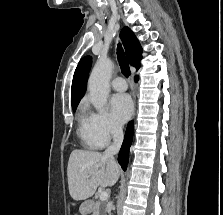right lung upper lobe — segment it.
Masks as SVG:
<instances>
[{
    "label": "right lung upper lobe",
    "mask_w": 223,
    "mask_h": 215,
    "mask_svg": "<svg viewBox=\"0 0 223 215\" xmlns=\"http://www.w3.org/2000/svg\"><path fill=\"white\" fill-rule=\"evenodd\" d=\"M121 38L123 40L124 48L128 62L139 69L140 60L142 58V48L134 33L128 28L124 27L121 31ZM92 58L86 56L82 58L75 70L72 82V108H76L81 98L84 96L86 90V83L91 68Z\"/></svg>",
    "instance_id": "obj_1"
}]
</instances>
